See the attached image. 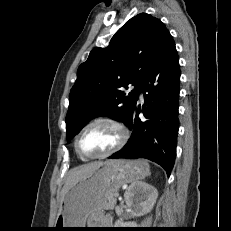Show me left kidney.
<instances>
[{"instance_id":"obj_1","label":"left kidney","mask_w":231,"mask_h":231,"mask_svg":"<svg viewBox=\"0 0 231 231\" xmlns=\"http://www.w3.org/2000/svg\"><path fill=\"white\" fill-rule=\"evenodd\" d=\"M124 198L131 214L142 216L152 210L158 198V191L149 184L134 183L128 187Z\"/></svg>"}]
</instances>
